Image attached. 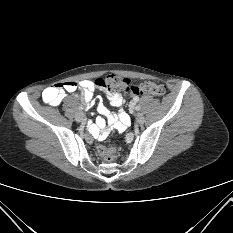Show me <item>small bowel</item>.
<instances>
[{"mask_svg": "<svg viewBox=\"0 0 233 233\" xmlns=\"http://www.w3.org/2000/svg\"><path fill=\"white\" fill-rule=\"evenodd\" d=\"M98 87L103 91V96L108 98L111 106L117 111L111 112L102 102L98 103L97 111L101 116L97 117L94 125L90 127V133L96 138H105L112 130L123 132L130 124L129 115L123 109L124 98L122 94L108 90V84L98 80H81L79 82L69 81L54 84L42 92V100L51 106H59L66 96L80 89L82 91L83 103L86 109L94 104V91ZM130 107H133L131 102Z\"/></svg>", "mask_w": 233, "mask_h": 233, "instance_id": "1", "label": "small bowel"}]
</instances>
